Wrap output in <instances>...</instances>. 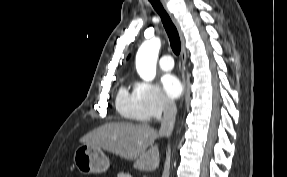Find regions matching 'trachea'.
Listing matches in <instances>:
<instances>
[{
  "label": "trachea",
  "mask_w": 287,
  "mask_h": 177,
  "mask_svg": "<svg viewBox=\"0 0 287 177\" xmlns=\"http://www.w3.org/2000/svg\"><path fill=\"white\" fill-rule=\"evenodd\" d=\"M149 2L152 4L153 8L161 17L163 26L169 37L170 45L173 52L176 55H179L181 51V41L177 28L175 27L174 23L172 22L171 18L169 17L168 13L165 11L159 0H149Z\"/></svg>",
  "instance_id": "1"
}]
</instances>
